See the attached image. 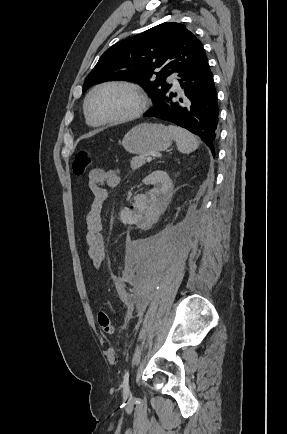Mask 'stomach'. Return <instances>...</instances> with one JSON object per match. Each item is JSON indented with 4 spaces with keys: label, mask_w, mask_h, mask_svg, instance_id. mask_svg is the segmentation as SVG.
Listing matches in <instances>:
<instances>
[{
    "label": "stomach",
    "mask_w": 287,
    "mask_h": 434,
    "mask_svg": "<svg viewBox=\"0 0 287 434\" xmlns=\"http://www.w3.org/2000/svg\"><path fill=\"white\" fill-rule=\"evenodd\" d=\"M172 140V134L164 125L142 123L126 133L122 146L129 153L143 155L167 150Z\"/></svg>",
    "instance_id": "0dacf381"
}]
</instances>
